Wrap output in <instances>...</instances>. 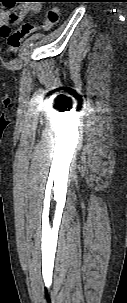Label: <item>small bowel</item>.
I'll list each match as a JSON object with an SVG mask.
<instances>
[{
	"instance_id": "obj_1",
	"label": "small bowel",
	"mask_w": 127,
	"mask_h": 303,
	"mask_svg": "<svg viewBox=\"0 0 127 303\" xmlns=\"http://www.w3.org/2000/svg\"><path fill=\"white\" fill-rule=\"evenodd\" d=\"M13 9H0V36L6 37L11 31V25L17 24L28 14H35L40 10L38 0H23Z\"/></svg>"
}]
</instances>
